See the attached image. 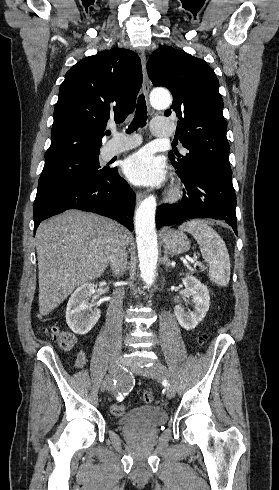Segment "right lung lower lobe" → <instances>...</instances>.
Returning a JSON list of instances; mask_svg holds the SVG:
<instances>
[{
	"mask_svg": "<svg viewBox=\"0 0 279 490\" xmlns=\"http://www.w3.org/2000/svg\"><path fill=\"white\" fill-rule=\"evenodd\" d=\"M135 193L117 168L102 178L39 187L33 206L34 232L40 222L68 209L95 212L133 230Z\"/></svg>",
	"mask_w": 279,
	"mask_h": 490,
	"instance_id": "obj_1",
	"label": "right lung lower lobe"
}]
</instances>
